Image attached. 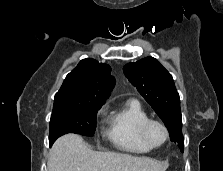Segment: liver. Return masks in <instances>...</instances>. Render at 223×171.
<instances>
[{
  "mask_svg": "<svg viewBox=\"0 0 223 171\" xmlns=\"http://www.w3.org/2000/svg\"><path fill=\"white\" fill-rule=\"evenodd\" d=\"M168 165L146 157L93 151L76 134L58 138L47 163L48 171H165Z\"/></svg>",
  "mask_w": 223,
  "mask_h": 171,
  "instance_id": "liver-1",
  "label": "liver"
}]
</instances>
